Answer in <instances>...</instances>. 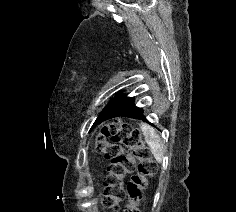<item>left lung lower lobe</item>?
<instances>
[{
  "label": "left lung lower lobe",
  "instance_id": "0a47b994",
  "mask_svg": "<svg viewBox=\"0 0 236 212\" xmlns=\"http://www.w3.org/2000/svg\"><path fill=\"white\" fill-rule=\"evenodd\" d=\"M119 116L147 121L143 116L142 108L135 106L134 98L127 97L122 93H118L117 97L104 109L98 122L100 124L103 121Z\"/></svg>",
  "mask_w": 236,
  "mask_h": 212
}]
</instances>
